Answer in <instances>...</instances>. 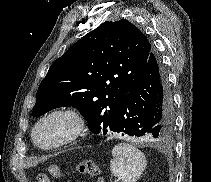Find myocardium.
<instances>
[{"label":"myocardium","mask_w":211,"mask_h":182,"mask_svg":"<svg viewBox=\"0 0 211 182\" xmlns=\"http://www.w3.org/2000/svg\"><path fill=\"white\" fill-rule=\"evenodd\" d=\"M56 116H64L72 120L73 122V128L70 132H68L65 136H63L61 139L52 142V143H41L36 138V133L39 127L47 120H49L52 117ZM87 128V119L86 116L79 111L76 108L72 107H60L53 109L40 117L38 121L33 126L32 132H31V138L33 142L41 149L49 150L58 148L60 146L66 145L77 138H79L86 130Z\"/></svg>","instance_id":"1"}]
</instances>
